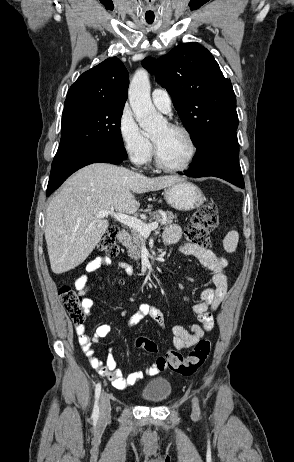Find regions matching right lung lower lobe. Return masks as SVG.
Returning <instances> with one entry per match:
<instances>
[{"label":"right lung lower lobe","mask_w":294,"mask_h":462,"mask_svg":"<svg viewBox=\"0 0 294 462\" xmlns=\"http://www.w3.org/2000/svg\"><path fill=\"white\" fill-rule=\"evenodd\" d=\"M127 158L125 148L117 145H96L67 149L55 155L46 196L55 191L72 173L96 162L119 164Z\"/></svg>","instance_id":"98d812e1"}]
</instances>
